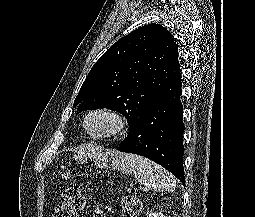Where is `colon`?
I'll list each match as a JSON object with an SVG mask.
<instances>
[{
    "mask_svg": "<svg viewBox=\"0 0 255 217\" xmlns=\"http://www.w3.org/2000/svg\"><path fill=\"white\" fill-rule=\"evenodd\" d=\"M86 203L84 192L72 187L64 190L61 202L54 208L52 217H76ZM141 201L134 195L125 196L122 200V209L127 217H136L141 210Z\"/></svg>",
    "mask_w": 255,
    "mask_h": 217,
    "instance_id": "colon-1",
    "label": "colon"
}]
</instances>
